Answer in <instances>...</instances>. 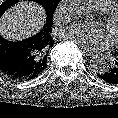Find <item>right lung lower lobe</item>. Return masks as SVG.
Masks as SVG:
<instances>
[{
	"mask_svg": "<svg viewBox=\"0 0 118 118\" xmlns=\"http://www.w3.org/2000/svg\"><path fill=\"white\" fill-rule=\"evenodd\" d=\"M33 37L12 42L0 35V71L16 81H27L37 77L35 45Z\"/></svg>",
	"mask_w": 118,
	"mask_h": 118,
	"instance_id": "obj_1",
	"label": "right lung lower lobe"
}]
</instances>
